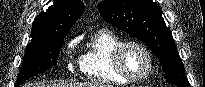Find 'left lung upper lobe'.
Returning a JSON list of instances; mask_svg holds the SVG:
<instances>
[{
	"instance_id": "left-lung-upper-lobe-1",
	"label": "left lung upper lobe",
	"mask_w": 205,
	"mask_h": 87,
	"mask_svg": "<svg viewBox=\"0 0 205 87\" xmlns=\"http://www.w3.org/2000/svg\"><path fill=\"white\" fill-rule=\"evenodd\" d=\"M98 9L105 21L146 43L159 59L169 83L190 87L172 34L156 2L104 0Z\"/></svg>"
}]
</instances>
